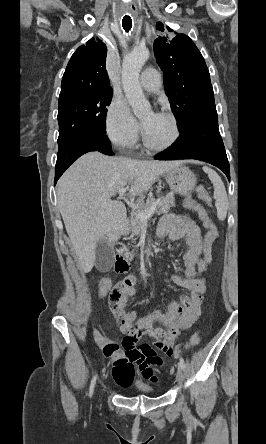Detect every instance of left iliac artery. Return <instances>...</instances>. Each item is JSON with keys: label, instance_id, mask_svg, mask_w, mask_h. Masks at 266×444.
<instances>
[{"label": "left iliac artery", "instance_id": "44dca946", "mask_svg": "<svg viewBox=\"0 0 266 444\" xmlns=\"http://www.w3.org/2000/svg\"><path fill=\"white\" fill-rule=\"evenodd\" d=\"M179 365L181 366V368H182L183 370H185L186 365H185V362H184V359H183V358H180V360H179Z\"/></svg>", "mask_w": 266, "mask_h": 444}]
</instances>
